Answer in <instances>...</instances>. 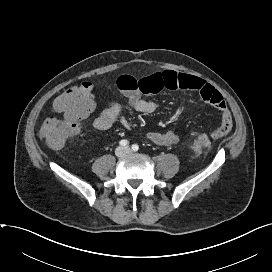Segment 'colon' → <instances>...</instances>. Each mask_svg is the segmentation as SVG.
I'll return each mask as SVG.
<instances>
[{"mask_svg": "<svg viewBox=\"0 0 272 272\" xmlns=\"http://www.w3.org/2000/svg\"><path fill=\"white\" fill-rule=\"evenodd\" d=\"M93 108L94 96L90 82L83 81L66 89L53 103L56 115L49 116L42 123L41 136L50 148L61 147L69 137L79 131L80 122ZM210 144L211 140L207 135H199L193 143V148L198 152L208 148Z\"/></svg>", "mask_w": 272, "mask_h": 272, "instance_id": "5ec220e1", "label": "colon"}]
</instances>
